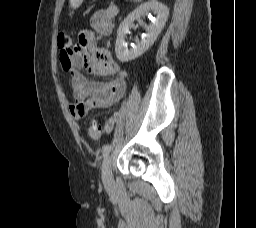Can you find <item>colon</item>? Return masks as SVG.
<instances>
[{"instance_id": "1", "label": "colon", "mask_w": 256, "mask_h": 228, "mask_svg": "<svg viewBox=\"0 0 256 228\" xmlns=\"http://www.w3.org/2000/svg\"><path fill=\"white\" fill-rule=\"evenodd\" d=\"M58 47L66 52L72 50L71 38L65 34H60L58 36ZM87 133L91 138L97 139L102 133V128L95 121H91L88 125Z\"/></svg>"}]
</instances>
